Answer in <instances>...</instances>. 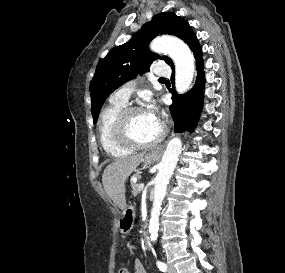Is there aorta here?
Masks as SVG:
<instances>
[{"label":"aorta","mask_w":285,"mask_h":273,"mask_svg":"<svg viewBox=\"0 0 285 273\" xmlns=\"http://www.w3.org/2000/svg\"><path fill=\"white\" fill-rule=\"evenodd\" d=\"M155 53H167L175 63L176 76L175 87L179 94L185 93L193 80L195 65L190 48L176 37L163 36L156 38L150 45ZM182 142L179 138H173L167 145L162 161L159 164L158 173L154 179V200L149 222V234L151 241L158 237L159 216L162 202L166 195L167 185L176 167Z\"/></svg>","instance_id":"762f6f07"}]
</instances>
